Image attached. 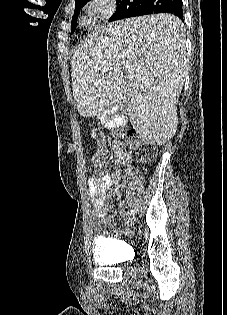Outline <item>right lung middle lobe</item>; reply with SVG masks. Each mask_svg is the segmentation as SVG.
<instances>
[{"label":"right lung middle lobe","mask_w":227,"mask_h":315,"mask_svg":"<svg viewBox=\"0 0 227 315\" xmlns=\"http://www.w3.org/2000/svg\"><path fill=\"white\" fill-rule=\"evenodd\" d=\"M90 0H76L75 1V11L72 18V26H71V33L75 31L76 22L79 14V10L82 8V6L87 3ZM117 1V8L115 14L109 19V21H114L119 19L120 13L122 8H126L127 6H138L140 5L144 0H116Z\"/></svg>","instance_id":"1"}]
</instances>
